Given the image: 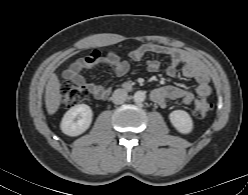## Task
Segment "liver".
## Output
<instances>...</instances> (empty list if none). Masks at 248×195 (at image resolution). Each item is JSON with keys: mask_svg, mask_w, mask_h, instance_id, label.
Masks as SVG:
<instances>
[{"mask_svg": "<svg viewBox=\"0 0 248 195\" xmlns=\"http://www.w3.org/2000/svg\"><path fill=\"white\" fill-rule=\"evenodd\" d=\"M60 81L55 73H52L46 85L45 105L49 115H53L61 104Z\"/></svg>", "mask_w": 248, "mask_h": 195, "instance_id": "obj_1", "label": "liver"}]
</instances>
